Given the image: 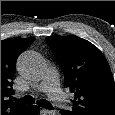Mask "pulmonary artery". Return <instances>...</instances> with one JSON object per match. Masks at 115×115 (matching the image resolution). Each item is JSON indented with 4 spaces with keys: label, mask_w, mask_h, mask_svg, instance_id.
<instances>
[{
    "label": "pulmonary artery",
    "mask_w": 115,
    "mask_h": 115,
    "mask_svg": "<svg viewBox=\"0 0 115 115\" xmlns=\"http://www.w3.org/2000/svg\"><path fill=\"white\" fill-rule=\"evenodd\" d=\"M38 90L47 93L53 101L66 107L68 100L59 87L58 75L54 68L49 67L44 71Z\"/></svg>",
    "instance_id": "obj_1"
}]
</instances>
